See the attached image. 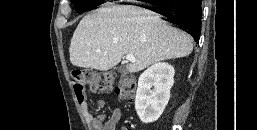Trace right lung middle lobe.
I'll return each mask as SVG.
<instances>
[{
  "label": "right lung middle lobe",
  "mask_w": 257,
  "mask_h": 130,
  "mask_svg": "<svg viewBox=\"0 0 257 130\" xmlns=\"http://www.w3.org/2000/svg\"><path fill=\"white\" fill-rule=\"evenodd\" d=\"M76 11L82 13L102 4L104 0H71Z\"/></svg>",
  "instance_id": "dd1d6c3e"
}]
</instances>
